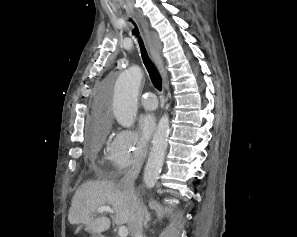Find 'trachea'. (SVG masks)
<instances>
[{"instance_id": "obj_1", "label": "trachea", "mask_w": 297, "mask_h": 237, "mask_svg": "<svg viewBox=\"0 0 297 237\" xmlns=\"http://www.w3.org/2000/svg\"><path fill=\"white\" fill-rule=\"evenodd\" d=\"M133 25L135 26V28L133 29V35H135L138 39L139 42V46H140V50H141V56H142V60L143 63L149 73L150 79L153 83V85L155 86L156 89H158L159 91L162 90V79L161 76L156 68V66L154 65V63L151 61L147 50L145 48L144 42L142 40V38L139 35V30L136 26V24L134 23V21L130 20Z\"/></svg>"}]
</instances>
